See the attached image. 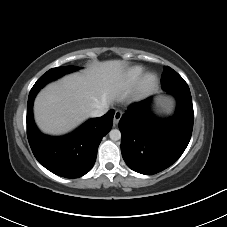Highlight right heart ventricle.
I'll use <instances>...</instances> for the list:
<instances>
[{"label": "right heart ventricle", "instance_id": "1", "mask_svg": "<svg viewBox=\"0 0 227 227\" xmlns=\"http://www.w3.org/2000/svg\"><path fill=\"white\" fill-rule=\"evenodd\" d=\"M144 71V68L141 66L131 67L126 71V79L130 83H136L143 77Z\"/></svg>", "mask_w": 227, "mask_h": 227}]
</instances>
